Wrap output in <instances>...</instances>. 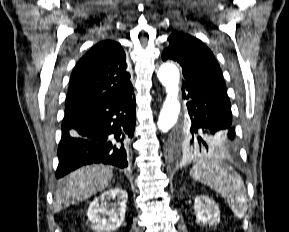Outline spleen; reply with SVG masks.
<instances>
[{
  "instance_id": "spleen-1",
  "label": "spleen",
  "mask_w": 289,
  "mask_h": 232,
  "mask_svg": "<svg viewBox=\"0 0 289 232\" xmlns=\"http://www.w3.org/2000/svg\"><path fill=\"white\" fill-rule=\"evenodd\" d=\"M191 176L219 193L235 216L242 218L247 212L246 188L241 176L218 159H202L195 164Z\"/></svg>"
}]
</instances>
